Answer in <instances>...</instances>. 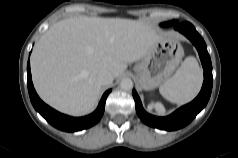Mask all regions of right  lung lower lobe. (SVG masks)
Returning a JSON list of instances; mask_svg holds the SVG:
<instances>
[{"mask_svg":"<svg viewBox=\"0 0 238 158\" xmlns=\"http://www.w3.org/2000/svg\"><path fill=\"white\" fill-rule=\"evenodd\" d=\"M27 84L30 100L36 111H38L51 125L67 132H74L95 125L104 113L106 98L111 92V90H108L104 93L97 109L92 114L81 118H74L55 111L38 97L32 84L29 61L27 64Z\"/></svg>","mask_w":238,"mask_h":158,"instance_id":"1","label":"right lung lower lobe"}]
</instances>
